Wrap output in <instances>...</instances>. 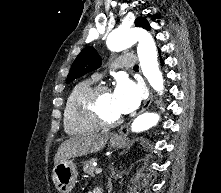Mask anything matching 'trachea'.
<instances>
[{"label": "trachea", "mask_w": 221, "mask_h": 193, "mask_svg": "<svg viewBox=\"0 0 221 193\" xmlns=\"http://www.w3.org/2000/svg\"><path fill=\"white\" fill-rule=\"evenodd\" d=\"M134 68H138V65H135Z\"/></svg>", "instance_id": "3493384b"}]
</instances>
